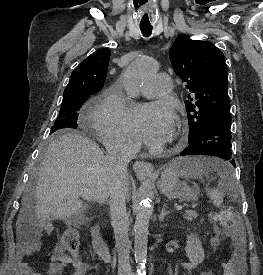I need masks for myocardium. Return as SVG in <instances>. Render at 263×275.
Here are the masks:
<instances>
[{
    "instance_id": "myocardium-1",
    "label": "myocardium",
    "mask_w": 263,
    "mask_h": 275,
    "mask_svg": "<svg viewBox=\"0 0 263 275\" xmlns=\"http://www.w3.org/2000/svg\"><path fill=\"white\" fill-rule=\"evenodd\" d=\"M181 137H182V131H181V129L180 128H176L175 129L174 140L178 142V141H180Z\"/></svg>"
}]
</instances>
